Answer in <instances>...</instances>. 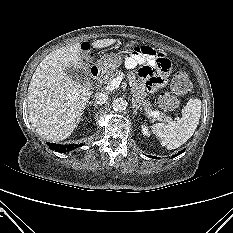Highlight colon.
I'll use <instances>...</instances> for the list:
<instances>
[{
	"label": "colon",
	"instance_id": "5ec220e1",
	"mask_svg": "<svg viewBox=\"0 0 233 233\" xmlns=\"http://www.w3.org/2000/svg\"><path fill=\"white\" fill-rule=\"evenodd\" d=\"M172 90L177 94H185L191 89V82L186 72L177 71L171 82ZM160 106L165 110H173L179 106V100L171 93H162L159 98Z\"/></svg>",
	"mask_w": 233,
	"mask_h": 233
}]
</instances>
